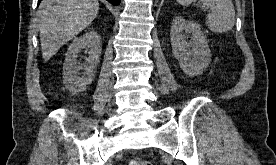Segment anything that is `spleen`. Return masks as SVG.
Here are the masks:
<instances>
[{"label":"spleen","instance_id":"obj_1","mask_svg":"<svg viewBox=\"0 0 276 165\" xmlns=\"http://www.w3.org/2000/svg\"><path fill=\"white\" fill-rule=\"evenodd\" d=\"M177 3L187 6L193 0H176ZM211 11L206 16L208 28L214 33H223L232 30L235 23V9L232 0H200Z\"/></svg>","mask_w":276,"mask_h":165}]
</instances>
